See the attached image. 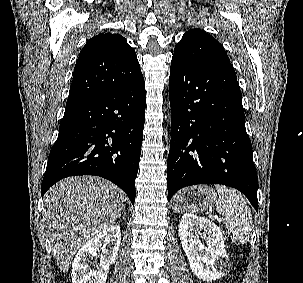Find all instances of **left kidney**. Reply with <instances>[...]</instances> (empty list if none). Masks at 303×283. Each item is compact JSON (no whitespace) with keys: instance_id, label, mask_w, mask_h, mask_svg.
Wrapping results in <instances>:
<instances>
[{"instance_id":"left-kidney-1","label":"left kidney","mask_w":303,"mask_h":283,"mask_svg":"<svg viewBox=\"0 0 303 283\" xmlns=\"http://www.w3.org/2000/svg\"><path fill=\"white\" fill-rule=\"evenodd\" d=\"M207 246L199 239L202 234ZM179 237L193 273L201 280L220 279L230 268L220 228L213 222L193 214L182 216Z\"/></svg>"}]
</instances>
